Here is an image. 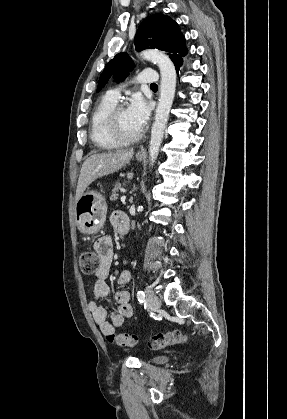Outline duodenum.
Listing matches in <instances>:
<instances>
[{"label":"duodenum","instance_id":"duodenum-1","mask_svg":"<svg viewBox=\"0 0 287 419\" xmlns=\"http://www.w3.org/2000/svg\"><path fill=\"white\" fill-rule=\"evenodd\" d=\"M129 226L128 225H124L123 227H121L119 229V233L121 234H126L128 232Z\"/></svg>","mask_w":287,"mask_h":419}]
</instances>
